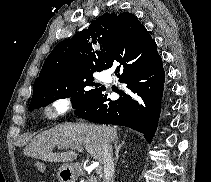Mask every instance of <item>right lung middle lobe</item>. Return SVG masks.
Returning <instances> with one entry per match:
<instances>
[{"label": "right lung middle lobe", "instance_id": "obj_1", "mask_svg": "<svg viewBox=\"0 0 211 182\" xmlns=\"http://www.w3.org/2000/svg\"><path fill=\"white\" fill-rule=\"evenodd\" d=\"M94 72L71 80L47 84L33 92L29 111L45 107L57 99L71 98L72 107L78 108L99 90V84L94 83ZM95 87V88H92Z\"/></svg>", "mask_w": 211, "mask_h": 182}]
</instances>
